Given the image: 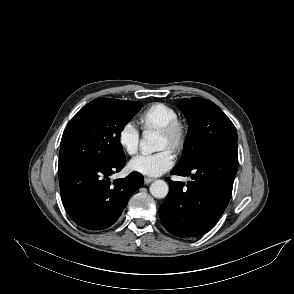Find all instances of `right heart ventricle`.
<instances>
[{
	"instance_id": "e07e8e85",
	"label": "right heart ventricle",
	"mask_w": 294,
	"mask_h": 294,
	"mask_svg": "<svg viewBox=\"0 0 294 294\" xmlns=\"http://www.w3.org/2000/svg\"><path fill=\"white\" fill-rule=\"evenodd\" d=\"M178 118V112L173 107L165 103H153L141 112L138 121L144 131H149L159 130Z\"/></svg>"
}]
</instances>
